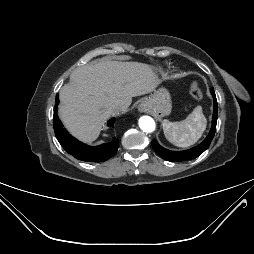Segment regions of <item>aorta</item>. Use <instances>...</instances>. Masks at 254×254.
Wrapping results in <instances>:
<instances>
[{
    "label": "aorta",
    "instance_id": "obj_1",
    "mask_svg": "<svg viewBox=\"0 0 254 254\" xmlns=\"http://www.w3.org/2000/svg\"><path fill=\"white\" fill-rule=\"evenodd\" d=\"M139 127L143 132L151 133L155 130V122L150 116H142L139 119Z\"/></svg>",
    "mask_w": 254,
    "mask_h": 254
}]
</instances>
